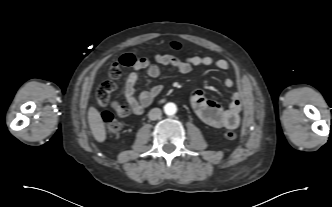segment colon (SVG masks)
<instances>
[{"instance_id":"1","label":"colon","mask_w":332,"mask_h":207,"mask_svg":"<svg viewBox=\"0 0 332 207\" xmlns=\"http://www.w3.org/2000/svg\"><path fill=\"white\" fill-rule=\"evenodd\" d=\"M170 47L176 51L181 49V45L178 42H171ZM136 62L137 59L133 54L126 53L111 65L109 69V78L104 80L96 91L97 102L100 106L111 108L117 115L126 112L125 105L112 101L110 95L116 88V80L121 76V68L132 67ZM102 119L110 135H117L122 131V122L116 119L111 112H104L102 114ZM224 136L228 140H235L237 138L236 133L233 131L225 132Z\"/></svg>"}]
</instances>
